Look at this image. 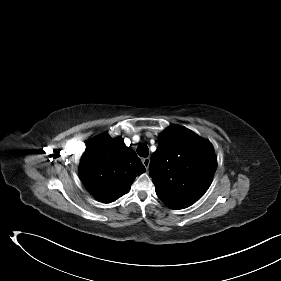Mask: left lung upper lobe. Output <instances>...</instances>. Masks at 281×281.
Listing matches in <instances>:
<instances>
[{
    "mask_svg": "<svg viewBox=\"0 0 281 281\" xmlns=\"http://www.w3.org/2000/svg\"><path fill=\"white\" fill-rule=\"evenodd\" d=\"M217 168L212 144L193 131L172 125L158 138L149 174L157 196L172 209H183L200 199Z\"/></svg>",
    "mask_w": 281,
    "mask_h": 281,
    "instance_id": "obj_1",
    "label": "left lung upper lobe"
}]
</instances>
